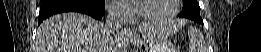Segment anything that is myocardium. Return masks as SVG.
Masks as SVG:
<instances>
[{
	"mask_svg": "<svg viewBox=\"0 0 261 52\" xmlns=\"http://www.w3.org/2000/svg\"><path fill=\"white\" fill-rule=\"evenodd\" d=\"M137 2L138 1H131V9H132V13H133L135 19L138 22H144V23H150V24H162V23H166V22L172 20L177 15L181 1L172 0L171 10L168 13H166L165 15L158 16V17H147V16L141 15L138 11Z\"/></svg>",
	"mask_w": 261,
	"mask_h": 52,
	"instance_id": "f54148a6",
	"label": "myocardium"
}]
</instances>
